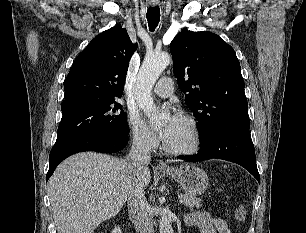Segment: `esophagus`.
Listing matches in <instances>:
<instances>
[{"mask_svg": "<svg viewBox=\"0 0 306 233\" xmlns=\"http://www.w3.org/2000/svg\"><path fill=\"white\" fill-rule=\"evenodd\" d=\"M157 166H158L159 168H166V167H167V164H166L165 162H163V161H159L158 164H157Z\"/></svg>", "mask_w": 306, "mask_h": 233, "instance_id": "34e87169", "label": "esophagus"}]
</instances>
